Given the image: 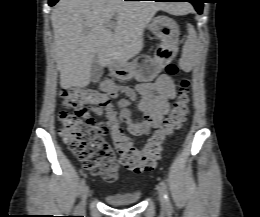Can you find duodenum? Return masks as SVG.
Wrapping results in <instances>:
<instances>
[{
    "label": "duodenum",
    "instance_id": "1",
    "mask_svg": "<svg viewBox=\"0 0 260 217\" xmlns=\"http://www.w3.org/2000/svg\"><path fill=\"white\" fill-rule=\"evenodd\" d=\"M113 70H115V71H116V70H117V68H116V67H113Z\"/></svg>",
    "mask_w": 260,
    "mask_h": 217
}]
</instances>
